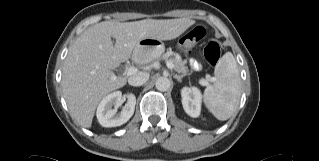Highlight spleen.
Instances as JSON below:
<instances>
[{"instance_id":"3e777b00","label":"spleen","mask_w":319,"mask_h":161,"mask_svg":"<svg viewBox=\"0 0 319 161\" xmlns=\"http://www.w3.org/2000/svg\"><path fill=\"white\" fill-rule=\"evenodd\" d=\"M214 74V84L204 91V103L218 120L224 121L234 114L241 97L240 74L231 52L220 58Z\"/></svg>"}]
</instances>
